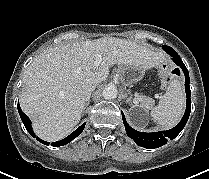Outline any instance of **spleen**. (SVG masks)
Segmentation results:
<instances>
[{"mask_svg": "<svg viewBox=\"0 0 209 179\" xmlns=\"http://www.w3.org/2000/svg\"><path fill=\"white\" fill-rule=\"evenodd\" d=\"M185 106V93L182 82L172 80L160 98L159 103L151 110V116L157 124L170 129L180 121Z\"/></svg>", "mask_w": 209, "mask_h": 179, "instance_id": "obj_1", "label": "spleen"}]
</instances>
